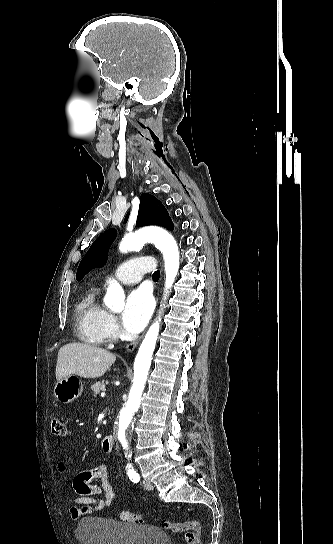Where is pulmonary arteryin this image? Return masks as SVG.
I'll return each mask as SVG.
<instances>
[{"mask_svg": "<svg viewBox=\"0 0 333 544\" xmlns=\"http://www.w3.org/2000/svg\"><path fill=\"white\" fill-rule=\"evenodd\" d=\"M153 267V260L150 257H134L120 264L114 271V276L124 284H134L138 283Z\"/></svg>", "mask_w": 333, "mask_h": 544, "instance_id": "1", "label": "pulmonary artery"}]
</instances>
